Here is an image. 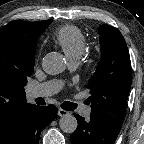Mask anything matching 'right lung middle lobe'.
<instances>
[{
  "label": "right lung middle lobe",
  "mask_w": 144,
  "mask_h": 144,
  "mask_svg": "<svg viewBox=\"0 0 144 144\" xmlns=\"http://www.w3.org/2000/svg\"><path fill=\"white\" fill-rule=\"evenodd\" d=\"M33 69H34V68H33ZM33 69H31V70L27 73L26 77H28V76H30V75L32 74Z\"/></svg>",
  "instance_id": "1"
}]
</instances>
